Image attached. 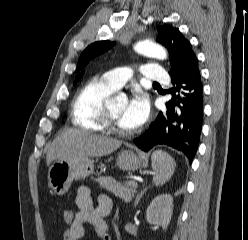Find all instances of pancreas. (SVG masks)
Masks as SVG:
<instances>
[{
    "label": "pancreas",
    "instance_id": "cf45deb5",
    "mask_svg": "<svg viewBox=\"0 0 248 240\" xmlns=\"http://www.w3.org/2000/svg\"><path fill=\"white\" fill-rule=\"evenodd\" d=\"M96 182L101 188L106 189L113 193L116 197L123 199L125 202H130L136 193V188L127 184L117 182L109 176H102L96 179Z\"/></svg>",
    "mask_w": 248,
    "mask_h": 240
}]
</instances>
